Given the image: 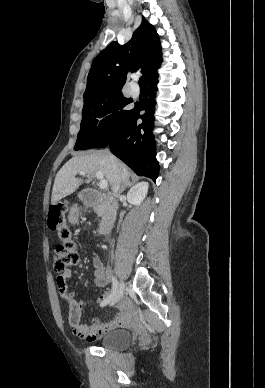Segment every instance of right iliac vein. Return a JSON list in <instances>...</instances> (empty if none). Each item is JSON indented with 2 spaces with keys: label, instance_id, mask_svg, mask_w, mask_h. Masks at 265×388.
Masks as SVG:
<instances>
[{
  "label": "right iliac vein",
  "instance_id": "1",
  "mask_svg": "<svg viewBox=\"0 0 265 388\" xmlns=\"http://www.w3.org/2000/svg\"><path fill=\"white\" fill-rule=\"evenodd\" d=\"M124 291H125V283L124 281L122 280L120 282V285L118 287V290L116 292V294L114 295V297L112 298L111 300V305H114L116 304L118 301H120V299L123 297L124 295Z\"/></svg>",
  "mask_w": 265,
  "mask_h": 388
}]
</instances>
